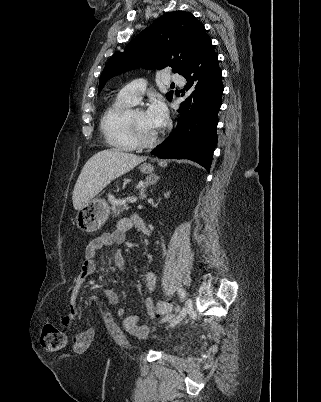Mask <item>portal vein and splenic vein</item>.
<instances>
[{
  "instance_id": "obj_1",
  "label": "portal vein and splenic vein",
  "mask_w": 321,
  "mask_h": 402,
  "mask_svg": "<svg viewBox=\"0 0 321 402\" xmlns=\"http://www.w3.org/2000/svg\"><path fill=\"white\" fill-rule=\"evenodd\" d=\"M129 201H130L131 203H135V202L137 201V198H136L135 196H132V197L129 199Z\"/></svg>"
}]
</instances>
